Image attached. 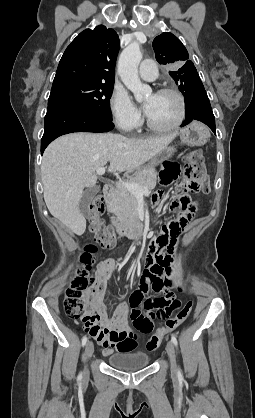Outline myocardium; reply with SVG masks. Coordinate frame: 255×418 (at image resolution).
I'll list each match as a JSON object with an SVG mask.
<instances>
[{
  "label": "myocardium",
  "instance_id": "myocardium-1",
  "mask_svg": "<svg viewBox=\"0 0 255 418\" xmlns=\"http://www.w3.org/2000/svg\"><path fill=\"white\" fill-rule=\"evenodd\" d=\"M157 94H171V95H174L178 99L179 105H180V111H179L178 118L171 125L158 126V125H155L149 119V117L146 114V117H145L146 125L150 130L155 131V132H159V133H165V132L173 131V130L177 129L183 123V121L185 120V117H186V100H185V97L180 91H178L177 89L171 88V87L161 88L157 91Z\"/></svg>",
  "mask_w": 255,
  "mask_h": 418
}]
</instances>
